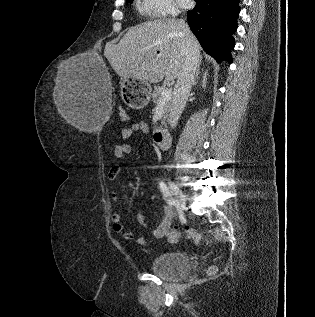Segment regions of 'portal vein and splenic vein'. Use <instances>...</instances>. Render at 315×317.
<instances>
[{
  "mask_svg": "<svg viewBox=\"0 0 315 317\" xmlns=\"http://www.w3.org/2000/svg\"><path fill=\"white\" fill-rule=\"evenodd\" d=\"M171 95H172V89L164 90L162 92L161 102H165L166 100H170L171 99Z\"/></svg>",
  "mask_w": 315,
  "mask_h": 317,
  "instance_id": "portal-vein-and-splenic-vein-1",
  "label": "portal vein and splenic vein"
}]
</instances>
